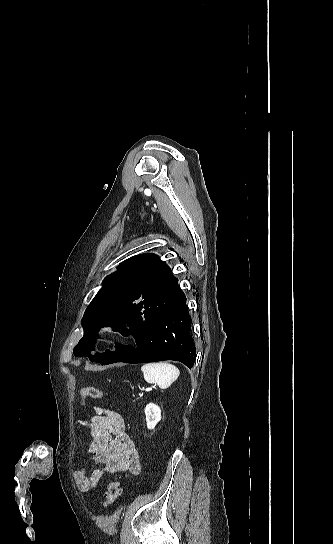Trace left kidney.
I'll list each match as a JSON object with an SVG mask.
<instances>
[{"label":"left kidney","instance_id":"5707ae66","mask_svg":"<svg viewBox=\"0 0 333 544\" xmlns=\"http://www.w3.org/2000/svg\"><path fill=\"white\" fill-rule=\"evenodd\" d=\"M145 416L147 428L150 430L154 429L157 423L161 420V410L159 406L153 403H149L145 407Z\"/></svg>","mask_w":333,"mask_h":544}]
</instances>
